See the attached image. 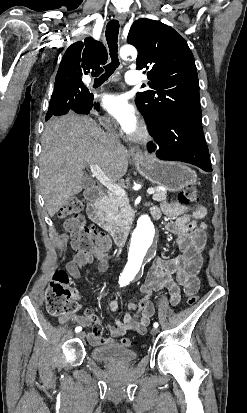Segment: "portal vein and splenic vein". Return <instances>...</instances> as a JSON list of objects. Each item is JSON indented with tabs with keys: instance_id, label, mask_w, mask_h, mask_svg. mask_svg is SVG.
Here are the masks:
<instances>
[{
	"instance_id": "18ae733b",
	"label": "portal vein and splenic vein",
	"mask_w": 247,
	"mask_h": 413,
	"mask_svg": "<svg viewBox=\"0 0 247 413\" xmlns=\"http://www.w3.org/2000/svg\"><path fill=\"white\" fill-rule=\"evenodd\" d=\"M89 166L91 168V172H93L92 176H96L101 184H104L106 188H108L109 192L112 194H120V196H127L123 186H119V184H115L112 182L111 178L106 176L105 172H103L102 168H100L99 164H95V162H89ZM148 194H153L155 192V188H147Z\"/></svg>"
}]
</instances>
